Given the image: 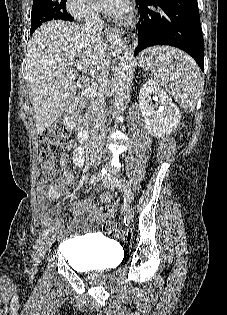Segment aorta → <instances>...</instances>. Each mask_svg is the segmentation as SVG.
Masks as SVG:
<instances>
[{
	"instance_id": "1",
	"label": "aorta",
	"mask_w": 227,
	"mask_h": 315,
	"mask_svg": "<svg viewBox=\"0 0 227 315\" xmlns=\"http://www.w3.org/2000/svg\"><path fill=\"white\" fill-rule=\"evenodd\" d=\"M111 48L115 51L122 46V40L117 34H111L109 38ZM135 66L134 46L130 45L123 51L117 73L113 81L114 109L118 110L128 90Z\"/></svg>"
}]
</instances>
